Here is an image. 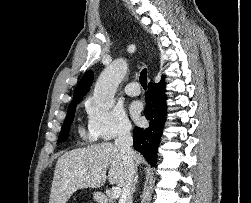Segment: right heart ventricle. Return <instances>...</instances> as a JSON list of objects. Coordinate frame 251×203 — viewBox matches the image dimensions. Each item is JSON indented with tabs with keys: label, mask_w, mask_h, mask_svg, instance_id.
<instances>
[{
	"label": "right heart ventricle",
	"mask_w": 251,
	"mask_h": 203,
	"mask_svg": "<svg viewBox=\"0 0 251 203\" xmlns=\"http://www.w3.org/2000/svg\"><path fill=\"white\" fill-rule=\"evenodd\" d=\"M80 135H81L84 139L88 138L89 140H93V139L95 138V137H94L93 135H91V134H89V136L86 137L85 132H84L82 129H80Z\"/></svg>",
	"instance_id": "1"
}]
</instances>
